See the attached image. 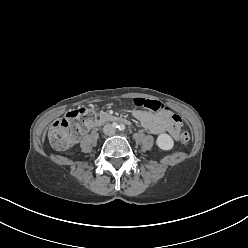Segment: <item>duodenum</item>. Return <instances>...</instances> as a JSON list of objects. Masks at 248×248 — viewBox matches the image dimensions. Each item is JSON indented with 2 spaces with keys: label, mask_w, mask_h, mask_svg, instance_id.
<instances>
[{
  "label": "duodenum",
  "mask_w": 248,
  "mask_h": 248,
  "mask_svg": "<svg viewBox=\"0 0 248 248\" xmlns=\"http://www.w3.org/2000/svg\"><path fill=\"white\" fill-rule=\"evenodd\" d=\"M105 122H116V123H123V124H129V121L126 118L110 115V114H103L95 123L94 126L98 127L102 125Z\"/></svg>",
  "instance_id": "410a0bca"
}]
</instances>
